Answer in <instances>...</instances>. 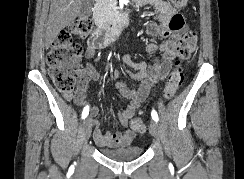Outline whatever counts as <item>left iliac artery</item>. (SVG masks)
<instances>
[{
    "label": "left iliac artery",
    "mask_w": 244,
    "mask_h": 179,
    "mask_svg": "<svg viewBox=\"0 0 244 179\" xmlns=\"http://www.w3.org/2000/svg\"><path fill=\"white\" fill-rule=\"evenodd\" d=\"M151 116H152V119L154 120V121H156V122H158V114H157V112L155 111V110H152V112H151Z\"/></svg>",
    "instance_id": "obj_1"
}]
</instances>
